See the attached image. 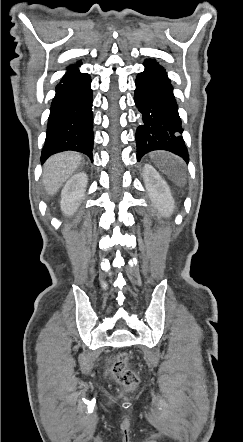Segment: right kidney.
<instances>
[{
  "label": "right kidney",
  "mask_w": 243,
  "mask_h": 442,
  "mask_svg": "<svg viewBox=\"0 0 243 442\" xmlns=\"http://www.w3.org/2000/svg\"><path fill=\"white\" fill-rule=\"evenodd\" d=\"M88 178L86 173L73 175L65 184L61 192V210L65 215H72L84 198Z\"/></svg>",
  "instance_id": "ca27d5eb"
}]
</instances>
